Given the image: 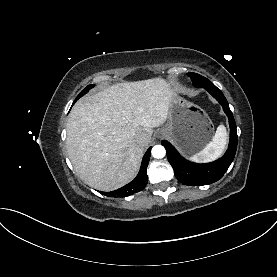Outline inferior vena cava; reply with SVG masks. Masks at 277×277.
Here are the masks:
<instances>
[{
	"mask_svg": "<svg viewBox=\"0 0 277 277\" xmlns=\"http://www.w3.org/2000/svg\"><path fill=\"white\" fill-rule=\"evenodd\" d=\"M135 141L138 144L143 145L148 142V135L145 132H137L135 134Z\"/></svg>",
	"mask_w": 277,
	"mask_h": 277,
	"instance_id": "602c4592",
	"label": "inferior vena cava"
}]
</instances>
